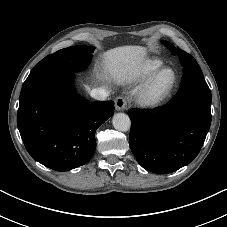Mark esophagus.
<instances>
[{"instance_id": "obj_1", "label": "esophagus", "mask_w": 227, "mask_h": 227, "mask_svg": "<svg viewBox=\"0 0 227 227\" xmlns=\"http://www.w3.org/2000/svg\"><path fill=\"white\" fill-rule=\"evenodd\" d=\"M115 108L117 111L125 110L127 108V101L123 97L116 98Z\"/></svg>"}]
</instances>
